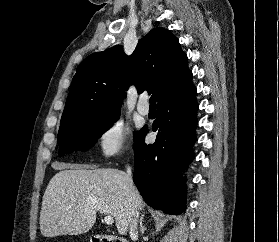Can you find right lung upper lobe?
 Wrapping results in <instances>:
<instances>
[{"instance_id":"cb5924a9","label":"right lung upper lobe","mask_w":279,"mask_h":242,"mask_svg":"<svg viewBox=\"0 0 279 242\" xmlns=\"http://www.w3.org/2000/svg\"><path fill=\"white\" fill-rule=\"evenodd\" d=\"M187 60L178 39L161 27L142 38L130 56L120 45L89 55L73 77L60 126L118 115L130 84L138 92H156L158 103L182 93L192 86Z\"/></svg>"}]
</instances>
